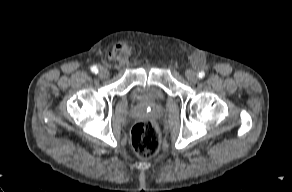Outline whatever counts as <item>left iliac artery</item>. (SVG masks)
<instances>
[{
	"label": "left iliac artery",
	"mask_w": 292,
	"mask_h": 192,
	"mask_svg": "<svg viewBox=\"0 0 292 192\" xmlns=\"http://www.w3.org/2000/svg\"><path fill=\"white\" fill-rule=\"evenodd\" d=\"M205 76V73L203 72V71H200L199 73H198V77L199 78H203Z\"/></svg>",
	"instance_id": "1"
}]
</instances>
